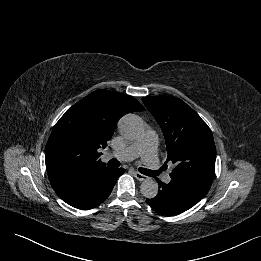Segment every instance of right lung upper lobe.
<instances>
[{
    "instance_id": "1",
    "label": "right lung upper lobe",
    "mask_w": 261,
    "mask_h": 261,
    "mask_svg": "<svg viewBox=\"0 0 261 261\" xmlns=\"http://www.w3.org/2000/svg\"><path fill=\"white\" fill-rule=\"evenodd\" d=\"M134 98L98 89L69 108L48 139L46 169L54 190L106 168L100 148L111 139L118 120L129 112L144 111Z\"/></svg>"
}]
</instances>
